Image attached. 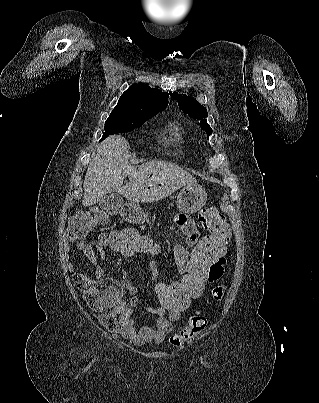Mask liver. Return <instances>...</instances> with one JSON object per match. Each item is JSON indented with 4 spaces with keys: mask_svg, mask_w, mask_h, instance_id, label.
<instances>
[{
    "mask_svg": "<svg viewBox=\"0 0 319 403\" xmlns=\"http://www.w3.org/2000/svg\"><path fill=\"white\" fill-rule=\"evenodd\" d=\"M126 176L129 183L123 185ZM194 183L197 181L191 174L173 163L153 160L133 166L128 141L113 135L98 146L87 168L82 205H94L111 192L132 201L153 203Z\"/></svg>",
    "mask_w": 319,
    "mask_h": 403,
    "instance_id": "liver-1",
    "label": "liver"
}]
</instances>
